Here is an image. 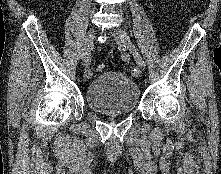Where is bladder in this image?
I'll return each mask as SVG.
<instances>
[{"mask_svg": "<svg viewBox=\"0 0 221 174\" xmlns=\"http://www.w3.org/2000/svg\"><path fill=\"white\" fill-rule=\"evenodd\" d=\"M85 100L88 107L101 114H128L139 105L138 85L119 71H106L90 81Z\"/></svg>", "mask_w": 221, "mask_h": 174, "instance_id": "1", "label": "bladder"}]
</instances>
